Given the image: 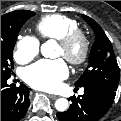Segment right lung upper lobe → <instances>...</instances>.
<instances>
[{
    "label": "right lung upper lobe",
    "instance_id": "cb5924a9",
    "mask_svg": "<svg viewBox=\"0 0 121 121\" xmlns=\"http://www.w3.org/2000/svg\"><path fill=\"white\" fill-rule=\"evenodd\" d=\"M23 11H25V10H17V11H13V12H10V13H7V14L1 16V23L6 22V21L10 20L11 18H14V17L20 15Z\"/></svg>",
    "mask_w": 121,
    "mask_h": 121
}]
</instances>
